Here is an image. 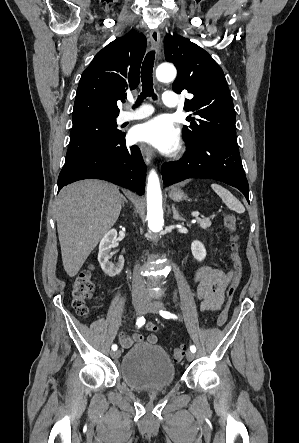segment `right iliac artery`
I'll use <instances>...</instances> for the list:
<instances>
[{"label": "right iliac artery", "mask_w": 299, "mask_h": 443, "mask_svg": "<svg viewBox=\"0 0 299 443\" xmlns=\"http://www.w3.org/2000/svg\"><path fill=\"white\" fill-rule=\"evenodd\" d=\"M144 324H145V318H144L143 316L138 317V319H137V321H136V325H137V327L140 328V327H142ZM117 348H118V347H117L116 344H113V345H112V350H113V351L117 350Z\"/></svg>", "instance_id": "1"}]
</instances>
